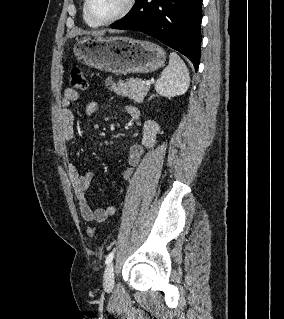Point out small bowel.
<instances>
[{"mask_svg":"<svg viewBox=\"0 0 284 319\" xmlns=\"http://www.w3.org/2000/svg\"><path fill=\"white\" fill-rule=\"evenodd\" d=\"M78 100V93L72 88L64 90L61 100L60 109V122L62 127L63 138L66 141H71L75 137L74 130V115L72 112V105ZM98 105L96 102H90L86 105V112L93 114L97 111ZM127 112L137 125L142 128V139L138 144H133L128 149L127 165L122 171V177L124 180H129L134 169L140 163L142 156L149 150L153 149L157 144V137L160 133L159 125L152 120L140 123L141 113L135 106H127ZM69 176L73 185L75 200L78 204L80 214L82 218L87 222H104L108 217L112 216L116 212V208L113 205H108L104 208L93 209L87 199L86 192L89 190L93 181L94 174L92 172H86L80 174L77 167L74 164L69 166Z\"/></svg>","mask_w":284,"mask_h":319,"instance_id":"obj_1","label":"small bowel"}]
</instances>
